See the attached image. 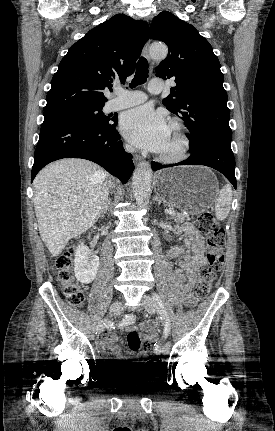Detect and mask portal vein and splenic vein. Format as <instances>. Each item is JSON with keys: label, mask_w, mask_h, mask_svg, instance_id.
<instances>
[{"label": "portal vein and splenic vein", "mask_w": 275, "mask_h": 431, "mask_svg": "<svg viewBox=\"0 0 275 431\" xmlns=\"http://www.w3.org/2000/svg\"><path fill=\"white\" fill-rule=\"evenodd\" d=\"M165 213L172 215V214H175V211L170 208V209H165Z\"/></svg>", "instance_id": "obj_1"}]
</instances>
